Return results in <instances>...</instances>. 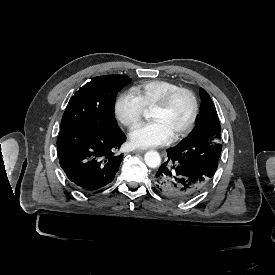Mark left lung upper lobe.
Masks as SVG:
<instances>
[{
  "instance_id": "left-lung-upper-lobe-1",
  "label": "left lung upper lobe",
  "mask_w": 275,
  "mask_h": 275,
  "mask_svg": "<svg viewBox=\"0 0 275 275\" xmlns=\"http://www.w3.org/2000/svg\"><path fill=\"white\" fill-rule=\"evenodd\" d=\"M202 108L196 126L189 136L167 150L175 159L197 171L213 177L221 154V126L216 108L204 89H200Z\"/></svg>"
}]
</instances>
